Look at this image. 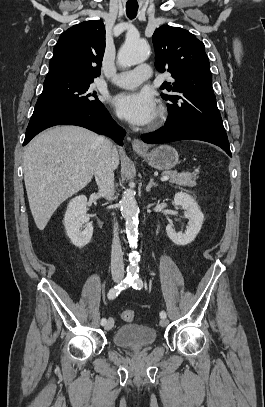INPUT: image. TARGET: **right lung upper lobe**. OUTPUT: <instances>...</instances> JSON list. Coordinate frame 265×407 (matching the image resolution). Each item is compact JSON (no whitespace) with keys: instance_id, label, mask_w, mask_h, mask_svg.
<instances>
[{"instance_id":"cb5924a9","label":"right lung upper lobe","mask_w":265,"mask_h":407,"mask_svg":"<svg viewBox=\"0 0 265 407\" xmlns=\"http://www.w3.org/2000/svg\"><path fill=\"white\" fill-rule=\"evenodd\" d=\"M105 50V27L85 21L63 32L54 47L46 79L93 80L100 75Z\"/></svg>"}]
</instances>
